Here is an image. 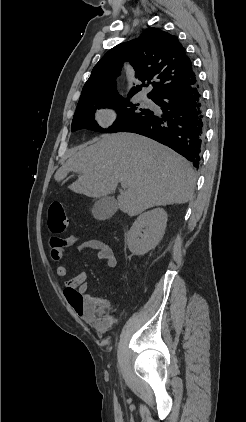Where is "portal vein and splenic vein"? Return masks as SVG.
Instances as JSON below:
<instances>
[{
    "label": "portal vein and splenic vein",
    "instance_id": "portal-vein-and-splenic-vein-1",
    "mask_svg": "<svg viewBox=\"0 0 246 422\" xmlns=\"http://www.w3.org/2000/svg\"><path fill=\"white\" fill-rule=\"evenodd\" d=\"M122 187H125V184L121 183Z\"/></svg>",
    "mask_w": 246,
    "mask_h": 422
}]
</instances>
